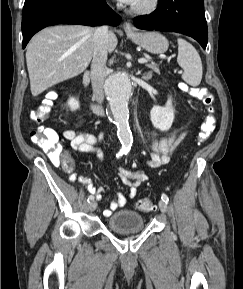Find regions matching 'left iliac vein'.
<instances>
[{"instance_id":"1","label":"left iliac vein","mask_w":243,"mask_h":289,"mask_svg":"<svg viewBox=\"0 0 243 289\" xmlns=\"http://www.w3.org/2000/svg\"><path fill=\"white\" fill-rule=\"evenodd\" d=\"M159 208L161 212L163 213L167 212V204L163 200L159 201Z\"/></svg>"}]
</instances>
